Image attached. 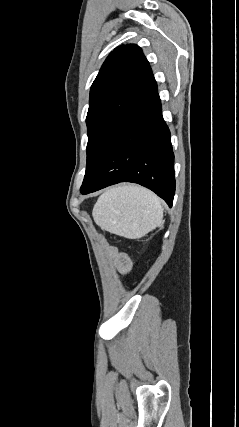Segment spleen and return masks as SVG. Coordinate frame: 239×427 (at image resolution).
<instances>
[{"label":"spleen","instance_id":"obj_1","mask_svg":"<svg viewBox=\"0 0 239 427\" xmlns=\"http://www.w3.org/2000/svg\"><path fill=\"white\" fill-rule=\"evenodd\" d=\"M93 218L112 234L137 239L158 227L163 220L159 197L138 185L109 188L97 200Z\"/></svg>","mask_w":239,"mask_h":427}]
</instances>
